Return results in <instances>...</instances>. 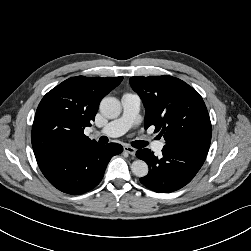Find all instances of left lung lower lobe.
<instances>
[{"mask_svg": "<svg viewBox=\"0 0 251 251\" xmlns=\"http://www.w3.org/2000/svg\"><path fill=\"white\" fill-rule=\"evenodd\" d=\"M136 156L149 166V173L140 179L147 188L160 193L173 192L187 185L203 165L206 154L193 149L163 147L156 157L150 149H140Z\"/></svg>", "mask_w": 251, "mask_h": 251, "instance_id": "0a47b994", "label": "left lung lower lobe"}]
</instances>
